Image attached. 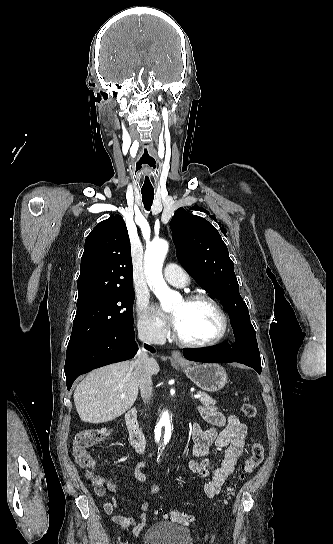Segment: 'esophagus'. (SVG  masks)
Listing matches in <instances>:
<instances>
[{
    "mask_svg": "<svg viewBox=\"0 0 333 544\" xmlns=\"http://www.w3.org/2000/svg\"><path fill=\"white\" fill-rule=\"evenodd\" d=\"M171 357L178 362H184V358L182 357L181 353L179 351H172Z\"/></svg>",
    "mask_w": 333,
    "mask_h": 544,
    "instance_id": "34e87169",
    "label": "esophagus"
}]
</instances>
